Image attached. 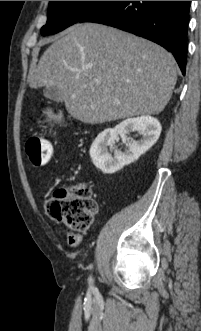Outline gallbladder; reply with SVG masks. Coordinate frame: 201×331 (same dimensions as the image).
Returning a JSON list of instances; mask_svg holds the SVG:
<instances>
[{"mask_svg": "<svg viewBox=\"0 0 201 331\" xmlns=\"http://www.w3.org/2000/svg\"><path fill=\"white\" fill-rule=\"evenodd\" d=\"M43 94L47 99L56 102H63L64 96L61 90L57 86H49L45 87L43 90Z\"/></svg>", "mask_w": 201, "mask_h": 331, "instance_id": "obj_1", "label": "gallbladder"}]
</instances>
